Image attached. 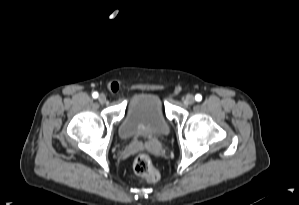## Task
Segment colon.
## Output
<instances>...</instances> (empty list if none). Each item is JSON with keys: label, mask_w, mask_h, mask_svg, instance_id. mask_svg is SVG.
<instances>
[{"label": "colon", "mask_w": 299, "mask_h": 205, "mask_svg": "<svg viewBox=\"0 0 299 205\" xmlns=\"http://www.w3.org/2000/svg\"><path fill=\"white\" fill-rule=\"evenodd\" d=\"M134 173L143 181L154 183L159 179V173L152 164L150 157L145 153L136 154L133 161Z\"/></svg>", "instance_id": "5ec220e1"}]
</instances>
